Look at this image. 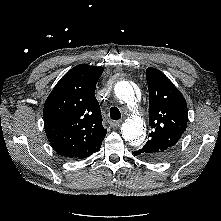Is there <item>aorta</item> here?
I'll return each mask as SVG.
<instances>
[{"mask_svg": "<svg viewBox=\"0 0 221 221\" xmlns=\"http://www.w3.org/2000/svg\"><path fill=\"white\" fill-rule=\"evenodd\" d=\"M116 97L129 106H134L136 98L134 90L127 81H119L115 84ZM122 137L132 146H139L144 140V122L138 115L130 116L121 128Z\"/></svg>", "mask_w": 221, "mask_h": 221, "instance_id": "obj_1", "label": "aorta"}]
</instances>
